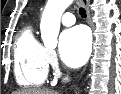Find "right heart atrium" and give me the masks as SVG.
Instances as JSON below:
<instances>
[{"instance_id": "d8ad5b80", "label": "right heart atrium", "mask_w": 121, "mask_h": 94, "mask_svg": "<svg viewBox=\"0 0 121 94\" xmlns=\"http://www.w3.org/2000/svg\"><path fill=\"white\" fill-rule=\"evenodd\" d=\"M46 60H47V63L51 66H56V63H57V58H56V54L53 50L51 49H47V52H46Z\"/></svg>"}]
</instances>
